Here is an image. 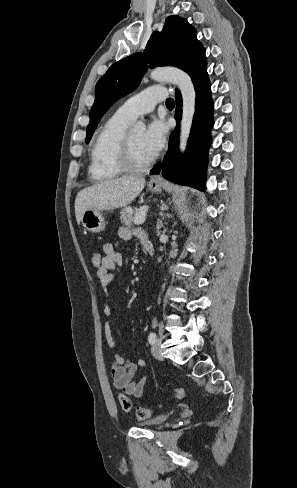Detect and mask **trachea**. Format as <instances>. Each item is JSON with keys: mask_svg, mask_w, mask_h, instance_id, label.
<instances>
[{"mask_svg": "<svg viewBox=\"0 0 297 488\" xmlns=\"http://www.w3.org/2000/svg\"><path fill=\"white\" fill-rule=\"evenodd\" d=\"M166 106L167 107H174V100L172 98H169L166 100Z\"/></svg>", "mask_w": 297, "mask_h": 488, "instance_id": "1", "label": "trachea"}]
</instances>
